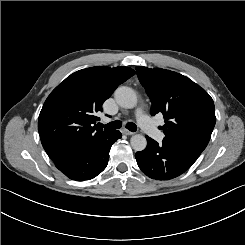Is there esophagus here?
Segmentation results:
<instances>
[{
    "label": "esophagus",
    "instance_id": "esophagus-1",
    "mask_svg": "<svg viewBox=\"0 0 245 245\" xmlns=\"http://www.w3.org/2000/svg\"><path fill=\"white\" fill-rule=\"evenodd\" d=\"M122 133L125 135H133L134 134V132H131L130 130H127V129H122Z\"/></svg>",
    "mask_w": 245,
    "mask_h": 245
}]
</instances>
